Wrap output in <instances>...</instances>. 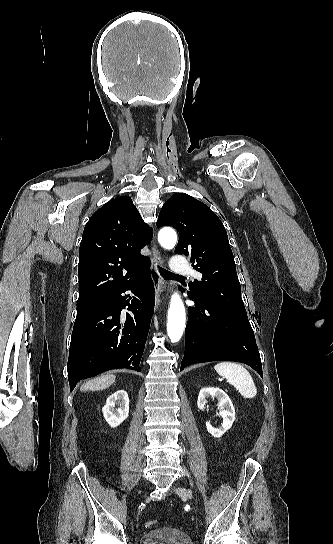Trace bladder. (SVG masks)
<instances>
[{"instance_id":"obj_1","label":"bladder","mask_w":333,"mask_h":544,"mask_svg":"<svg viewBox=\"0 0 333 544\" xmlns=\"http://www.w3.org/2000/svg\"><path fill=\"white\" fill-rule=\"evenodd\" d=\"M139 544H193V542L185 532L167 527L145 533L140 538Z\"/></svg>"}]
</instances>
